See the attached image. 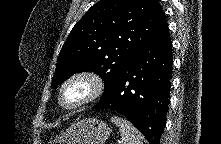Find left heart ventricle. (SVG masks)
Wrapping results in <instances>:
<instances>
[{"label":"left heart ventricle","instance_id":"obj_1","mask_svg":"<svg viewBox=\"0 0 221 144\" xmlns=\"http://www.w3.org/2000/svg\"><path fill=\"white\" fill-rule=\"evenodd\" d=\"M88 92V85L85 82H76L70 85L64 92L63 102L66 105L73 104L82 99Z\"/></svg>","mask_w":221,"mask_h":144}]
</instances>
